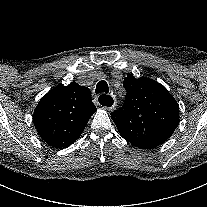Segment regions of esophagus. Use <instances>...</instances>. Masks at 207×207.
<instances>
[{
  "instance_id": "1",
  "label": "esophagus",
  "mask_w": 207,
  "mask_h": 207,
  "mask_svg": "<svg viewBox=\"0 0 207 207\" xmlns=\"http://www.w3.org/2000/svg\"><path fill=\"white\" fill-rule=\"evenodd\" d=\"M107 96H108V95H107ZM93 102L95 103V105H99L98 97H97V96L94 98ZM112 107H113V106H111V107H110V106H105V108L108 109V110L111 109Z\"/></svg>"
}]
</instances>
